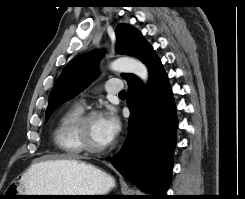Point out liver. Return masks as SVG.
Returning <instances> with one entry per match:
<instances>
[{
    "instance_id": "liver-1",
    "label": "liver",
    "mask_w": 245,
    "mask_h": 199,
    "mask_svg": "<svg viewBox=\"0 0 245 199\" xmlns=\"http://www.w3.org/2000/svg\"><path fill=\"white\" fill-rule=\"evenodd\" d=\"M82 158L81 156L69 155H56L44 158V160L33 164L22 178H43L47 172L57 170L66 163L78 162Z\"/></svg>"
}]
</instances>
